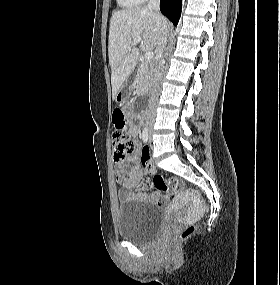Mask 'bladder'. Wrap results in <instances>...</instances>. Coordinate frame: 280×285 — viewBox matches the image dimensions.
Here are the masks:
<instances>
[{
	"label": "bladder",
	"instance_id": "obj_1",
	"mask_svg": "<svg viewBox=\"0 0 280 285\" xmlns=\"http://www.w3.org/2000/svg\"><path fill=\"white\" fill-rule=\"evenodd\" d=\"M164 222L161 210L144 200L124 201L117 209L119 236L138 245H145L156 237Z\"/></svg>",
	"mask_w": 280,
	"mask_h": 285
}]
</instances>
